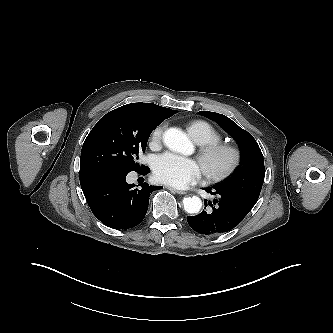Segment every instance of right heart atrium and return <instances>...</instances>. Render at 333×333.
Here are the masks:
<instances>
[{
    "label": "right heart atrium",
    "mask_w": 333,
    "mask_h": 333,
    "mask_svg": "<svg viewBox=\"0 0 333 333\" xmlns=\"http://www.w3.org/2000/svg\"><path fill=\"white\" fill-rule=\"evenodd\" d=\"M163 132H164L163 125H158L152 130L150 134V145L152 147H156L161 143Z\"/></svg>",
    "instance_id": "obj_1"
}]
</instances>
